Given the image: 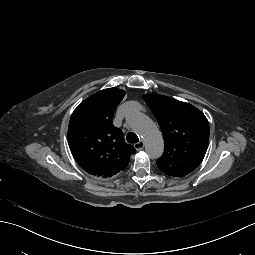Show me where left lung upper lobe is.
<instances>
[{"mask_svg":"<svg viewBox=\"0 0 255 255\" xmlns=\"http://www.w3.org/2000/svg\"><path fill=\"white\" fill-rule=\"evenodd\" d=\"M164 137L165 152L158 168L172 177H184L202 162L209 142V123L191 104L161 95H144Z\"/></svg>","mask_w":255,"mask_h":255,"instance_id":"obj_1","label":"left lung upper lobe"}]
</instances>
